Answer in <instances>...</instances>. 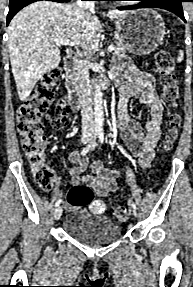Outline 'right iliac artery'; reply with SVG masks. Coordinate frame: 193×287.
<instances>
[{"label":"right iliac artery","mask_w":193,"mask_h":287,"mask_svg":"<svg viewBox=\"0 0 193 287\" xmlns=\"http://www.w3.org/2000/svg\"><path fill=\"white\" fill-rule=\"evenodd\" d=\"M98 135H99L98 132H95V133H94L93 139H92V141L90 142V144H88V145H87L85 148H83V150L81 151V155H82V156H85V155L89 152L91 146H94L95 141H96ZM60 203H61V200L59 199V200L55 203V207L59 206Z\"/></svg>","instance_id":"right-iliac-artery-1"}]
</instances>
